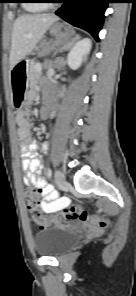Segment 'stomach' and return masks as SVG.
<instances>
[{
    "label": "stomach",
    "mask_w": 136,
    "mask_h": 296,
    "mask_svg": "<svg viewBox=\"0 0 136 296\" xmlns=\"http://www.w3.org/2000/svg\"><path fill=\"white\" fill-rule=\"evenodd\" d=\"M60 26L56 25L52 28L53 33H57ZM61 37H67L60 35ZM29 60H20L12 69V83L13 84H28L27 72L29 73ZM13 90V108H22L24 105L25 90H29V85H11Z\"/></svg>",
    "instance_id": "1"
}]
</instances>
